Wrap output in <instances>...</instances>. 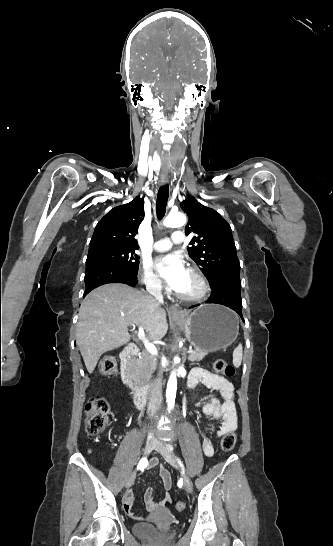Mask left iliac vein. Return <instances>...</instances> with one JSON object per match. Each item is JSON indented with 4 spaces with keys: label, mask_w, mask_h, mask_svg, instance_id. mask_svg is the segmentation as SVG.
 <instances>
[{
    "label": "left iliac vein",
    "mask_w": 333,
    "mask_h": 546,
    "mask_svg": "<svg viewBox=\"0 0 333 546\" xmlns=\"http://www.w3.org/2000/svg\"><path fill=\"white\" fill-rule=\"evenodd\" d=\"M155 449L164 457V459L173 467L178 468V464L174 457L173 451L169 444L163 443L161 441H156ZM184 488L187 492L191 493L193 490V484L189 477L184 475Z\"/></svg>",
    "instance_id": "left-iliac-vein-1"
}]
</instances>
